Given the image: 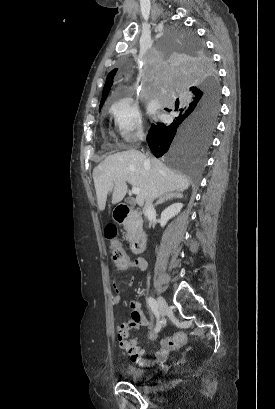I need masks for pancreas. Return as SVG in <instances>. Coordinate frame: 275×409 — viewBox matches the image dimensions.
Masks as SVG:
<instances>
[{
    "mask_svg": "<svg viewBox=\"0 0 275 409\" xmlns=\"http://www.w3.org/2000/svg\"><path fill=\"white\" fill-rule=\"evenodd\" d=\"M126 233V241H131L133 235H135L138 229H142V221L140 219H135L133 215L127 217L126 221L123 223Z\"/></svg>",
    "mask_w": 275,
    "mask_h": 409,
    "instance_id": "cf45deb5",
    "label": "pancreas"
}]
</instances>
